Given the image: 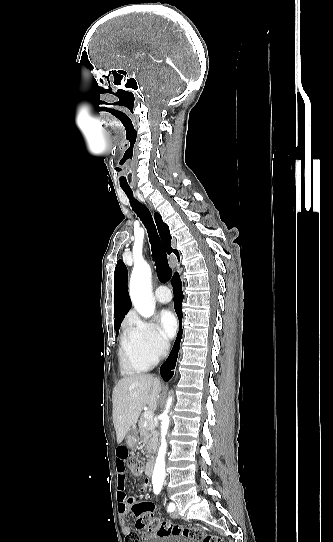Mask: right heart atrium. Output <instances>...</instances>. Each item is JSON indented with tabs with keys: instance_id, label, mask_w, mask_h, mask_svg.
Listing matches in <instances>:
<instances>
[{
	"instance_id": "obj_1",
	"label": "right heart atrium",
	"mask_w": 333,
	"mask_h": 542,
	"mask_svg": "<svg viewBox=\"0 0 333 542\" xmlns=\"http://www.w3.org/2000/svg\"><path fill=\"white\" fill-rule=\"evenodd\" d=\"M126 336L156 358L164 357L170 348L169 340L162 333L160 327L152 321L140 318L133 319L127 329Z\"/></svg>"
}]
</instances>
